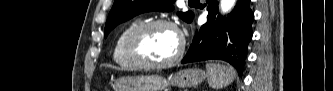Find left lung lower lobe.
I'll return each mask as SVG.
<instances>
[{"label":"left lung lower lobe","mask_w":333,"mask_h":91,"mask_svg":"<svg viewBox=\"0 0 333 91\" xmlns=\"http://www.w3.org/2000/svg\"><path fill=\"white\" fill-rule=\"evenodd\" d=\"M207 23L196 32L182 63L220 59L233 65L238 74L243 72L247 46L252 38L254 14L250 0H238L228 17L217 16L218 2L206 0Z\"/></svg>","instance_id":"obj_1"}]
</instances>
